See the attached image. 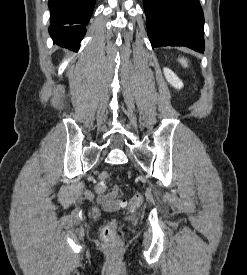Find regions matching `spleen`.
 Returning <instances> with one entry per match:
<instances>
[{"label": "spleen", "mask_w": 247, "mask_h": 275, "mask_svg": "<svg viewBox=\"0 0 247 275\" xmlns=\"http://www.w3.org/2000/svg\"><path fill=\"white\" fill-rule=\"evenodd\" d=\"M178 61L181 63L182 66L187 67L188 61L185 58H179Z\"/></svg>", "instance_id": "3e777b00"}]
</instances>
